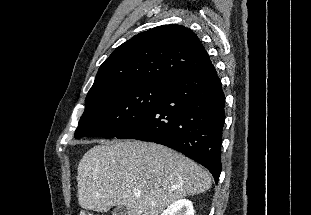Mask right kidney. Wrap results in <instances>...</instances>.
Here are the masks:
<instances>
[{"label": "right kidney", "instance_id": "obj_1", "mask_svg": "<svg viewBox=\"0 0 311 215\" xmlns=\"http://www.w3.org/2000/svg\"><path fill=\"white\" fill-rule=\"evenodd\" d=\"M161 215H194L193 203L180 199L172 203Z\"/></svg>", "mask_w": 311, "mask_h": 215}]
</instances>
